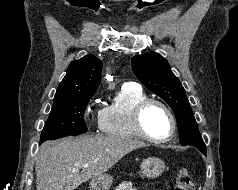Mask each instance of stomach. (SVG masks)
Segmentation results:
<instances>
[{
	"mask_svg": "<svg viewBox=\"0 0 238 190\" xmlns=\"http://www.w3.org/2000/svg\"><path fill=\"white\" fill-rule=\"evenodd\" d=\"M140 169L145 177L155 179L163 173L165 164L157 157H149L142 161ZM112 184L113 177L108 174H103L90 181V188L91 190H109Z\"/></svg>",
	"mask_w": 238,
	"mask_h": 190,
	"instance_id": "0dacf381",
	"label": "stomach"
}]
</instances>
